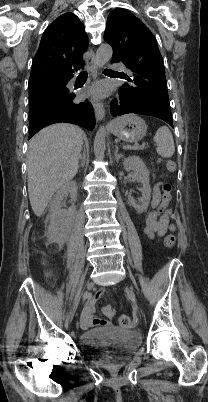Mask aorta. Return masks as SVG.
I'll list each match as a JSON object with an SVG mask.
<instances>
[{
    "label": "aorta",
    "mask_w": 208,
    "mask_h": 402,
    "mask_svg": "<svg viewBox=\"0 0 208 402\" xmlns=\"http://www.w3.org/2000/svg\"><path fill=\"white\" fill-rule=\"evenodd\" d=\"M112 54L113 50L111 46H109V44H101V46H99L95 56L96 74L98 70H102L105 64H107V62L111 60ZM105 146H106V128H104V126H101L94 140V154L96 158H104Z\"/></svg>",
    "instance_id": "762f6f07"
}]
</instances>
